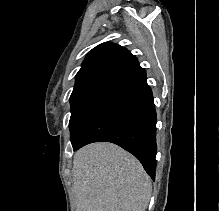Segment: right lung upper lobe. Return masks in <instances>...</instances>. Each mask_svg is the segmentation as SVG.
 <instances>
[{
  "mask_svg": "<svg viewBox=\"0 0 219 211\" xmlns=\"http://www.w3.org/2000/svg\"><path fill=\"white\" fill-rule=\"evenodd\" d=\"M140 69L137 58L128 50L110 42L102 43L86 56L71 97L97 88H114Z\"/></svg>",
  "mask_w": 219,
  "mask_h": 211,
  "instance_id": "right-lung-upper-lobe-1",
  "label": "right lung upper lobe"
}]
</instances>
